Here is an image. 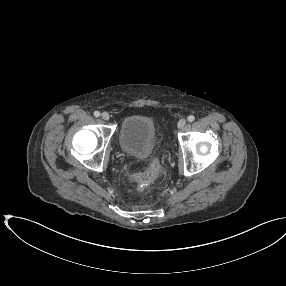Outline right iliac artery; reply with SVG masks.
Instances as JSON below:
<instances>
[{"instance_id":"82829eb1","label":"right iliac artery","mask_w":286,"mask_h":286,"mask_svg":"<svg viewBox=\"0 0 286 286\" xmlns=\"http://www.w3.org/2000/svg\"><path fill=\"white\" fill-rule=\"evenodd\" d=\"M94 116H95V117H99V116H100V112H99V111H95V112H94Z\"/></svg>"}]
</instances>
